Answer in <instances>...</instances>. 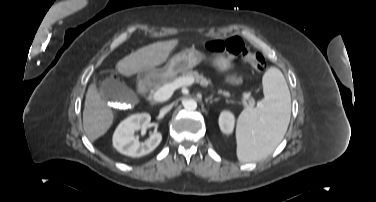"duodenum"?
<instances>
[{
	"instance_id": "410a0bca",
	"label": "duodenum",
	"mask_w": 376,
	"mask_h": 202,
	"mask_svg": "<svg viewBox=\"0 0 376 202\" xmlns=\"http://www.w3.org/2000/svg\"><path fill=\"white\" fill-rule=\"evenodd\" d=\"M149 84L147 80H141L138 84V92L140 94H145L148 91Z\"/></svg>"
}]
</instances>
